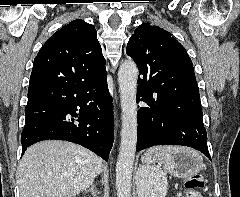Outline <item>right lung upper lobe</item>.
<instances>
[{"mask_svg":"<svg viewBox=\"0 0 240 197\" xmlns=\"http://www.w3.org/2000/svg\"><path fill=\"white\" fill-rule=\"evenodd\" d=\"M93 25L78 19L50 37L35 57L29 90L54 83H82L106 74Z\"/></svg>","mask_w":240,"mask_h":197,"instance_id":"obj_1","label":"right lung upper lobe"}]
</instances>
